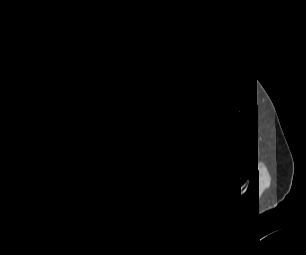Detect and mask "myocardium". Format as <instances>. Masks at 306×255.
<instances>
[{
	"label": "myocardium",
	"mask_w": 306,
	"mask_h": 255,
	"mask_svg": "<svg viewBox=\"0 0 306 255\" xmlns=\"http://www.w3.org/2000/svg\"><path fill=\"white\" fill-rule=\"evenodd\" d=\"M188 89H189V93H190V102H189V107L187 109V111L185 112L183 118L186 119V117L188 116L190 109L192 107L193 104V99H194V92L192 90V88L188 87L187 85H185Z\"/></svg>",
	"instance_id": "myocardium-1"
}]
</instances>
